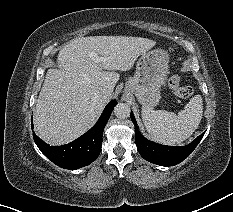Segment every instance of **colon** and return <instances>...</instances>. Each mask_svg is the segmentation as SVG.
Segmentation results:
<instances>
[{
  "mask_svg": "<svg viewBox=\"0 0 233 212\" xmlns=\"http://www.w3.org/2000/svg\"><path fill=\"white\" fill-rule=\"evenodd\" d=\"M168 84L172 92L180 98H189L194 93L191 87L181 85V78L179 75L171 76Z\"/></svg>",
  "mask_w": 233,
  "mask_h": 212,
  "instance_id": "1",
  "label": "colon"
}]
</instances>
